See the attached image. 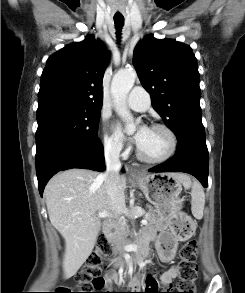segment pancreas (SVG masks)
<instances>
[{"mask_svg": "<svg viewBox=\"0 0 245 293\" xmlns=\"http://www.w3.org/2000/svg\"><path fill=\"white\" fill-rule=\"evenodd\" d=\"M144 218L148 221L146 225L148 229L159 231L165 228V223L158 218L157 212L153 208H149ZM128 234V226L125 223L121 222L114 225V231L108 235L114 253H123V246L128 242Z\"/></svg>", "mask_w": 245, "mask_h": 293, "instance_id": "obj_1", "label": "pancreas"}]
</instances>
